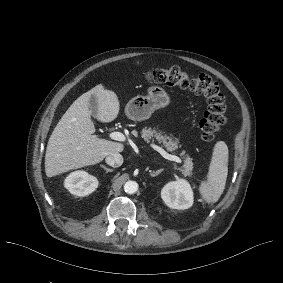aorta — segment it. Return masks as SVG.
Instances as JSON below:
<instances>
[{"label":"aorta","mask_w":283,"mask_h":283,"mask_svg":"<svg viewBox=\"0 0 283 283\" xmlns=\"http://www.w3.org/2000/svg\"><path fill=\"white\" fill-rule=\"evenodd\" d=\"M138 190V184L135 181H127L124 184V191L128 194H134Z\"/></svg>","instance_id":"1"}]
</instances>
